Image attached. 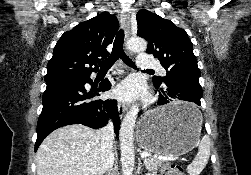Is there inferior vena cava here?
<instances>
[{
	"label": "inferior vena cava",
	"mask_w": 251,
	"mask_h": 175,
	"mask_svg": "<svg viewBox=\"0 0 251 175\" xmlns=\"http://www.w3.org/2000/svg\"><path fill=\"white\" fill-rule=\"evenodd\" d=\"M101 137V171H110L114 163V129L112 121L99 129Z\"/></svg>",
	"instance_id": "obj_1"
}]
</instances>
